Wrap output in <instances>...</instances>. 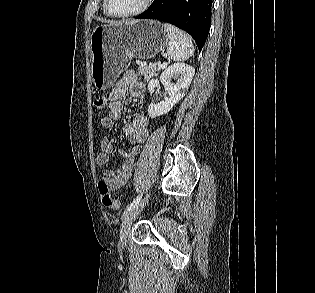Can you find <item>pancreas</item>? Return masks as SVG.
I'll list each match as a JSON object with an SVG mask.
<instances>
[{"instance_id":"cf45deb5","label":"pancreas","mask_w":315,"mask_h":293,"mask_svg":"<svg viewBox=\"0 0 315 293\" xmlns=\"http://www.w3.org/2000/svg\"><path fill=\"white\" fill-rule=\"evenodd\" d=\"M137 64L139 65L138 75L144 76L145 79L152 77L155 74V72L159 71V69L152 63L146 65L144 62L138 61Z\"/></svg>"}]
</instances>
